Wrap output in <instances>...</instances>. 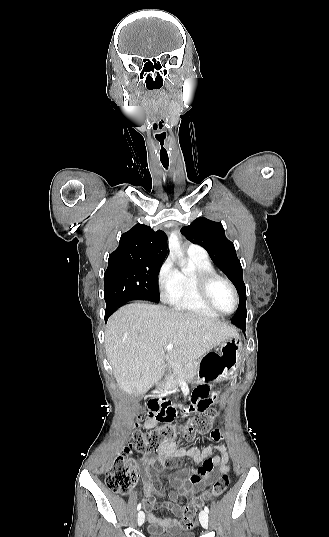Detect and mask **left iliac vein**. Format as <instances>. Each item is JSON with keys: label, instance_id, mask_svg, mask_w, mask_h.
Instances as JSON below:
<instances>
[{"label": "left iliac vein", "instance_id": "4c4485c4", "mask_svg": "<svg viewBox=\"0 0 329 537\" xmlns=\"http://www.w3.org/2000/svg\"><path fill=\"white\" fill-rule=\"evenodd\" d=\"M199 520H200V523H201L202 527L207 529L208 528V523H209L208 513L205 512V511H201L200 514H199Z\"/></svg>", "mask_w": 329, "mask_h": 537}]
</instances>
